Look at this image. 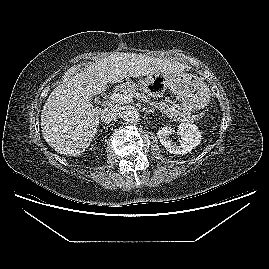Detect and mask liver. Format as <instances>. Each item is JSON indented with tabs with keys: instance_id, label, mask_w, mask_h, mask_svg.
Returning <instances> with one entry per match:
<instances>
[{
	"instance_id": "1",
	"label": "liver",
	"mask_w": 269,
	"mask_h": 269,
	"mask_svg": "<svg viewBox=\"0 0 269 269\" xmlns=\"http://www.w3.org/2000/svg\"><path fill=\"white\" fill-rule=\"evenodd\" d=\"M185 68L175 60L136 53L105 57L51 92L41 113L43 138L59 154L79 156L89 147L99 125L102 110L90 103L94 95L123 78L179 74Z\"/></svg>"
}]
</instances>
